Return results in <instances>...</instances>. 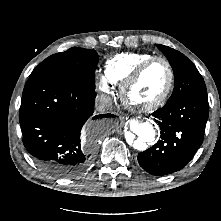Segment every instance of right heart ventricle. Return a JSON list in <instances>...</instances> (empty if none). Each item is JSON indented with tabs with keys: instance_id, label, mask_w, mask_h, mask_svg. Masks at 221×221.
Returning <instances> with one entry per match:
<instances>
[{
	"instance_id": "right-heart-ventricle-1",
	"label": "right heart ventricle",
	"mask_w": 221,
	"mask_h": 221,
	"mask_svg": "<svg viewBox=\"0 0 221 221\" xmlns=\"http://www.w3.org/2000/svg\"><path fill=\"white\" fill-rule=\"evenodd\" d=\"M153 56L146 52L115 55L105 64V77L111 84L122 85L141 63Z\"/></svg>"
}]
</instances>
